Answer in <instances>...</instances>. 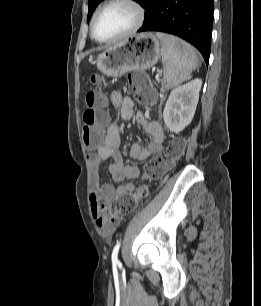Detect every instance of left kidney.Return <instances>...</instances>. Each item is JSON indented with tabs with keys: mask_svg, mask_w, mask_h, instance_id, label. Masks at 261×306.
Here are the masks:
<instances>
[{
	"mask_svg": "<svg viewBox=\"0 0 261 306\" xmlns=\"http://www.w3.org/2000/svg\"><path fill=\"white\" fill-rule=\"evenodd\" d=\"M201 85V79H194L171 91L163 111L165 125L171 132L179 133L191 123Z\"/></svg>",
	"mask_w": 261,
	"mask_h": 306,
	"instance_id": "left-kidney-1",
	"label": "left kidney"
}]
</instances>
